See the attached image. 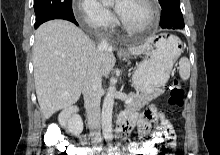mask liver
Wrapping results in <instances>:
<instances>
[{"label":"liver","mask_w":220,"mask_h":155,"mask_svg":"<svg viewBox=\"0 0 220 155\" xmlns=\"http://www.w3.org/2000/svg\"><path fill=\"white\" fill-rule=\"evenodd\" d=\"M149 47L129 49L141 54ZM99 60L101 75L107 77L115 65L112 49L96 46L81 29L65 20H51L35 32L33 65L35 89L45 119L75 104L87 72Z\"/></svg>","instance_id":"liver-1"}]
</instances>
